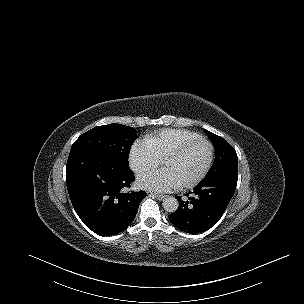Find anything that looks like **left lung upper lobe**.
Wrapping results in <instances>:
<instances>
[{
    "instance_id": "left-lung-upper-lobe-1",
    "label": "left lung upper lobe",
    "mask_w": 304,
    "mask_h": 304,
    "mask_svg": "<svg viewBox=\"0 0 304 304\" xmlns=\"http://www.w3.org/2000/svg\"><path fill=\"white\" fill-rule=\"evenodd\" d=\"M204 131L215 147L216 157L211 169L202 181L212 179L229 171L237 170L238 158L234 148L230 146L224 138L208 130Z\"/></svg>"
}]
</instances>
